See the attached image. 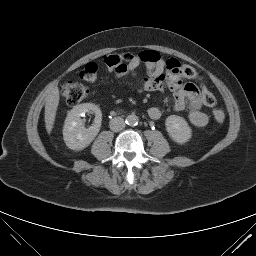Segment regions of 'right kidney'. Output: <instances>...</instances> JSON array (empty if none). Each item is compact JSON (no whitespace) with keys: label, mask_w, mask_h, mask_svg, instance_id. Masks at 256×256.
<instances>
[{"label":"right kidney","mask_w":256,"mask_h":256,"mask_svg":"<svg viewBox=\"0 0 256 256\" xmlns=\"http://www.w3.org/2000/svg\"><path fill=\"white\" fill-rule=\"evenodd\" d=\"M91 112L95 114V122L89 128H85L81 116ZM102 121L100 108L92 103H84L74 106L67 114L63 127V139L72 150H82L90 145L99 133Z\"/></svg>","instance_id":"obj_1"}]
</instances>
